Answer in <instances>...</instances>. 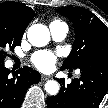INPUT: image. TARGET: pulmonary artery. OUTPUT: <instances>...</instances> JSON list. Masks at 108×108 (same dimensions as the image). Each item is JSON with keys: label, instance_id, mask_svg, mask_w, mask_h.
Segmentation results:
<instances>
[{"label": "pulmonary artery", "instance_id": "e3ab8cb5", "mask_svg": "<svg viewBox=\"0 0 108 108\" xmlns=\"http://www.w3.org/2000/svg\"><path fill=\"white\" fill-rule=\"evenodd\" d=\"M52 38L60 42L65 39L68 33V26L64 22H52L49 26Z\"/></svg>", "mask_w": 108, "mask_h": 108}]
</instances>
